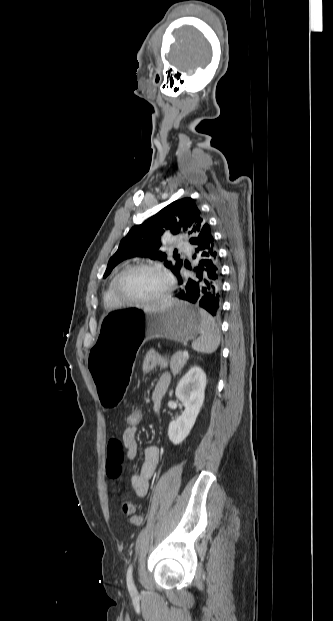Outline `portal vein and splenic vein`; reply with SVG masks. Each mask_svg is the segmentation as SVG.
I'll use <instances>...</instances> for the list:
<instances>
[{
	"label": "portal vein and splenic vein",
	"mask_w": 333,
	"mask_h": 621,
	"mask_svg": "<svg viewBox=\"0 0 333 621\" xmlns=\"http://www.w3.org/2000/svg\"><path fill=\"white\" fill-rule=\"evenodd\" d=\"M182 355H183V357H186V358H188V357H189V354H188V352H187V351H183Z\"/></svg>",
	"instance_id": "portal-vein-and-splenic-vein-1"
}]
</instances>
